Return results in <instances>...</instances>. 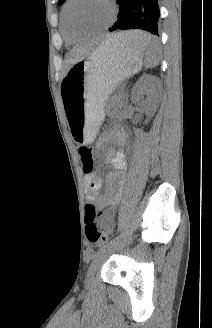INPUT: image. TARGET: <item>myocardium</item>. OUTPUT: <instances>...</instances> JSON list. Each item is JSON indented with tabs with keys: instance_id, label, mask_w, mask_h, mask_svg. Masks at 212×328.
Returning a JSON list of instances; mask_svg holds the SVG:
<instances>
[{
	"instance_id": "f54148a6",
	"label": "myocardium",
	"mask_w": 212,
	"mask_h": 328,
	"mask_svg": "<svg viewBox=\"0 0 212 328\" xmlns=\"http://www.w3.org/2000/svg\"><path fill=\"white\" fill-rule=\"evenodd\" d=\"M74 1L75 0H67L66 4L64 6V9H63V16H64V21H65V24H66V28L69 31V33H71V34L75 31V29H73L71 24H70L68 12H69L70 6L72 5V3ZM107 2L111 6V10H112V15H111L110 22L108 24L102 26V27H99V28L82 31V33H84L85 35L97 34V33H100V32H103V31L107 30L111 26V24L116 19V16H117V13H118V8H117V4H116L115 0H107Z\"/></svg>"
}]
</instances>
